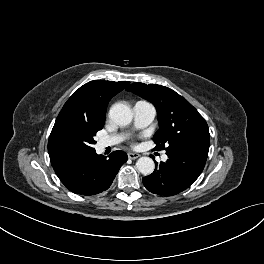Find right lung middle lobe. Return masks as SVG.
Segmentation results:
<instances>
[{
    "label": "right lung middle lobe",
    "instance_id": "obj_1",
    "mask_svg": "<svg viewBox=\"0 0 264 264\" xmlns=\"http://www.w3.org/2000/svg\"><path fill=\"white\" fill-rule=\"evenodd\" d=\"M101 127L78 121H66L48 142L51 161L59 162L77 155L94 152V136Z\"/></svg>",
    "mask_w": 264,
    "mask_h": 264
}]
</instances>
